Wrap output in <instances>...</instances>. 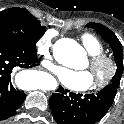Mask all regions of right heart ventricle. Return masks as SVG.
<instances>
[{
	"instance_id": "e07e8e85",
	"label": "right heart ventricle",
	"mask_w": 124,
	"mask_h": 124,
	"mask_svg": "<svg viewBox=\"0 0 124 124\" xmlns=\"http://www.w3.org/2000/svg\"><path fill=\"white\" fill-rule=\"evenodd\" d=\"M82 45L89 54L102 53L104 50L103 43L95 35L85 33L80 38Z\"/></svg>"
}]
</instances>
